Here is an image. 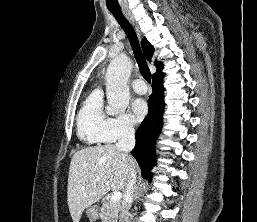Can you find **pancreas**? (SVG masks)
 Instances as JSON below:
<instances>
[{
	"label": "pancreas",
	"instance_id": "cf45deb5",
	"mask_svg": "<svg viewBox=\"0 0 257 222\" xmlns=\"http://www.w3.org/2000/svg\"><path fill=\"white\" fill-rule=\"evenodd\" d=\"M119 211L120 203L104 198L99 216L102 222H117Z\"/></svg>",
	"mask_w": 257,
	"mask_h": 222
}]
</instances>
